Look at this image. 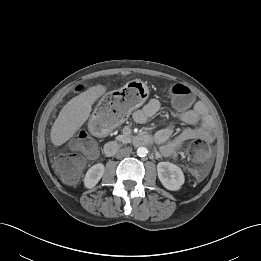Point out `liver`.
<instances>
[{"mask_svg":"<svg viewBox=\"0 0 261 261\" xmlns=\"http://www.w3.org/2000/svg\"><path fill=\"white\" fill-rule=\"evenodd\" d=\"M106 92V87L96 85L72 98L60 111L51 129V141L60 146L68 141L90 116L94 102Z\"/></svg>","mask_w":261,"mask_h":261,"instance_id":"6515ba94","label":"liver"}]
</instances>
